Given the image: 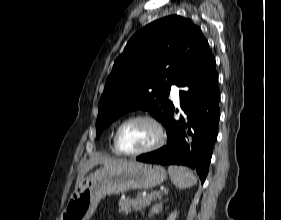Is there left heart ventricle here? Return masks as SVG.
Segmentation results:
<instances>
[{"instance_id":"b2bd125f","label":"left heart ventricle","mask_w":281,"mask_h":220,"mask_svg":"<svg viewBox=\"0 0 281 220\" xmlns=\"http://www.w3.org/2000/svg\"><path fill=\"white\" fill-rule=\"evenodd\" d=\"M156 139V127L151 122L138 120L122 129L119 143L123 150L134 152L152 145Z\"/></svg>"}]
</instances>
